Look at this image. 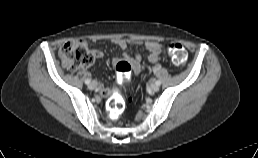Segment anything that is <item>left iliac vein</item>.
Returning <instances> with one entry per match:
<instances>
[{
	"label": "left iliac vein",
	"instance_id": "4c4485c4",
	"mask_svg": "<svg viewBox=\"0 0 258 158\" xmlns=\"http://www.w3.org/2000/svg\"><path fill=\"white\" fill-rule=\"evenodd\" d=\"M150 89L153 92H157L159 90V85H157L156 83H153L150 85Z\"/></svg>",
	"mask_w": 258,
	"mask_h": 158
}]
</instances>
